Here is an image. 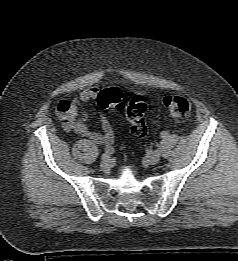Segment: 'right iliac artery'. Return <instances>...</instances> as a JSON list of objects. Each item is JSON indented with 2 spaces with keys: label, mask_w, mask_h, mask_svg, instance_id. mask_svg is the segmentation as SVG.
Returning <instances> with one entry per match:
<instances>
[{
  "label": "right iliac artery",
  "mask_w": 238,
  "mask_h": 261,
  "mask_svg": "<svg viewBox=\"0 0 238 261\" xmlns=\"http://www.w3.org/2000/svg\"><path fill=\"white\" fill-rule=\"evenodd\" d=\"M105 153L111 155L114 153V149L112 147H106L105 148Z\"/></svg>",
  "instance_id": "obj_1"
}]
</instances>
